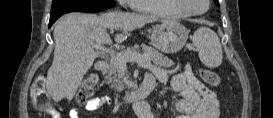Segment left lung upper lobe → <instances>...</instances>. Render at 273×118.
Masks as SVG:
<instances>
[{
	"label": "left lung upper lobe",
	"instance_id": "1",
	"mask_svg": "<svg viewBox=\"0 0 273 118\" xmlns=\"http://www.w3.org/2000/svg\"><path fill=\"white\" fill-rule=\"evenodd\" d=\"M214 2H215V4H216L217 6H219L218 0H214Z\"/></svg>",
	"mask_w": 273,
	"mask_h": 118
}]
</instances>
